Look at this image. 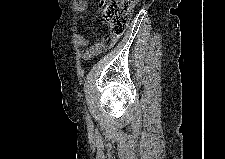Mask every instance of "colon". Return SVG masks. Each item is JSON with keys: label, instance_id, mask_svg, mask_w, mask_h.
<instances>
[{"label": "colon", "instance_id": "5ec220e1", "mask_svg": "<svg viewBox=\"0 0 225 159\" xmlns=\"http://www.w3.org/2000/svg\"><path fill=\"white\" fill-rule=\"evenodd\" d=\"M136 0H106L102 7V17L113 36L124 33Z\"/></svg>", "mask_w": 225, "mask_h": 159}]
</instances>
